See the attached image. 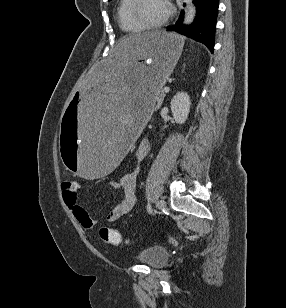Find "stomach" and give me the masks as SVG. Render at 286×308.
I'll return each mask as SVG.
<instances>
[{"mask_svg": "<svg viewBox=\"0 0 286 308\" xmlns=\"http://www.w3.org/2000/svg\"><path fill=\"white\" fill-rule=\"evenodd\" d=\"M125 36L91 69L82 91L60 118L63 164L75 177L99 182L121 168L136 132L150 119L158 92L171 75L184 39L173 33Z\"/></svg>", "mask_w": 286, "mask_h": 308, "instance_id": "stomach-1", "label": "stomach"}]
</instances>
